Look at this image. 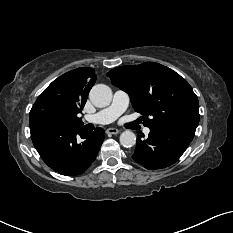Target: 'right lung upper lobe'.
<instances>
[{
	"instance_id": "cb5924a9",
	"label": "right lung upper lobe",
	"mask_w": 233,
	"mask_h": 233,
	"mask_svg": "<svg viewBox=\"0 0 233 233\" xmlns=\"http://www.w3.org/2000/svg\"><path fill=\"white\" fill-rule=\"evenodd\" d=\"M95 81V71L88 67L77 68L58 77L31 108L30 127L36 126L40 117L48 111L56 112L68 127L81 126L83 123L77 114L81 113Z\"/></svg>"
}]
</instances>
